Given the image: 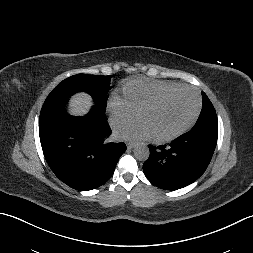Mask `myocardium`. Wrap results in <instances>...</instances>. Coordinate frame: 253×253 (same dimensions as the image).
I'll list each match as a JSON object with an SVG mask.
<instances>
[{"label":"myocardium","instance_id":"1","mask_svg":"<svg viewBox=\"0 0 253 253\" xmlns=\"http://www.w3.org/2000/svg\"><path fill=\"white\" fill-rule=\"evenodd\" d=\"M180 91H188V92H191L195 95V97L197 99V106H196L195 112L186 124H184L181 128H179L178 130H176L172 134H169V135L163 136V137H152L151 136L150 139L154 143L162 144V143L171 142V141L175 140L176 138L180 137L181 135H183L185 132H187L195 124L196 120L199 117L201 108H202V99H201L199 93L192 87L185 86V85H178L177 87H175L173 89H170L168 91H165V92L159 94L158 96H156L152 100H150L147 103L143 104L137 110V116L139 117L140 114L142 112H144L145 110H148L150 108H153V107L157 106L158 104H160L162 101H164L168 97H170L173 94H175L177 92H180Z\"/></svg>","mask_w":253,"mask_h":253}]
</instances>
